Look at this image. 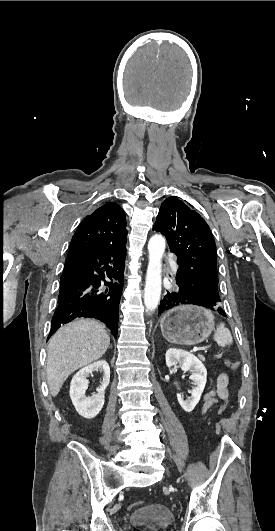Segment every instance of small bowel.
Listing matches in <instances>:
<instances>
[{
  "instance_id": "c3829d8e",
  "label": "small bowel",
  "mask_w": 275,
  "mask_h": 531,
  "mask_svg": "<svg viewBox=\"0 0 275 531\" xmlns=\"http://www.w3.org/2000/svg\"><path fill=\"white\" fill-rule=\"evenodd\" d=\"M229 397V376L226 373H220L216 377L212 388L205 394L202 403L201 413L205 414L212 408L218 399L226 400Z\"/></svg>"
}]
</instances>
